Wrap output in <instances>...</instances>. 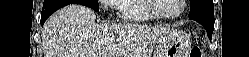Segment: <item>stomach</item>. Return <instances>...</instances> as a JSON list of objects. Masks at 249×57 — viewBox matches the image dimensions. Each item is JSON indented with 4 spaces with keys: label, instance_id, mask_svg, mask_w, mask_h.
<instances>
[{
    "label": "stomach",
    "instance_id": "0dacf381",
    "mask_svg": "<svg viewBox=\"0 0 249 57\" xmlns=\"http://www.w3.org/2000/svg\"><path fill=\"white\" fill-rule=\"evenodd\" d=\"M191 41L180 30H167L159 37L153 57H188Z\"/></svg>",
    "mask_w": 249,
    "mask_h": 57
}]
</instances>
